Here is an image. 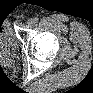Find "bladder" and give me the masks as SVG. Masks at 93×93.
Segmentation results:
<instances>
[{"mask_svg": "<svg viewBox=\"0 0 93 93\" xmlns=\"http://www.w3.org/2000/svg\"><path fill=\"white\" fill-rule=\"evenodd\" d=\"M12 40V33L9 28H4L1 30V41L8 42Z\"/></svg>", "mask_w": 93, "mask_h": 93, "instance_id": "bladder-1", "label": "bladder"}]
</instances>
